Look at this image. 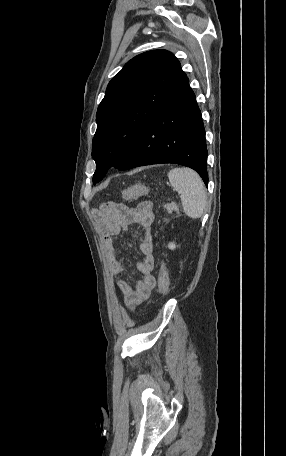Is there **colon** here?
<instances>
[{
	"mask_svg": "<svg viewBox=\"0 0 286 456\" xmlns=\"http://www.w3.org/2000/svg\"><path fill=\"white\" fill-rule=\"evenodd\" d=\"M148 191V187L145 185H134L126 188L122 192V196L126 199H133V198H138L143 195H145ZM103 208L105 209H111L112 208V203L107 202L103 205ZM170 287V282H169V277L168 273L165 269V267H162L160 270L159 274V290L161 294L165 295L168 293Z\"/></svg>",
	"mask_w": 286,
	"mask_h": 456,
	"instance_id": "colon-1",
	"label": "colon"
}]
</instances>
